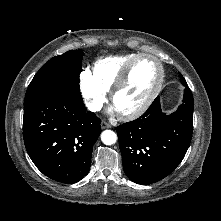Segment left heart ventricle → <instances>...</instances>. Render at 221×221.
<instances>
[{
	"mask_svg": "<svg viewBox=\"0 0 221 221\" xmlns=\"http://www.w3.org/2000/svg\"><path fill=\"white\" fill-rule=\"evenodd\" d=\"M158 77L159 68L154 60H139L133 67L126 85L117 94L114 107L119 111L138 108L155 87Z\"/></svg>",
	"mask_w": 221,
	"mask_h": 221,
	"instance_id": "1",
	"label": "left heart ventricle"
}]
</instances>
